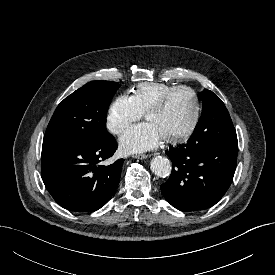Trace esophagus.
I'll return each instance as SVG.
<instances>
[{"label": "esophagus", "mask_w": 275, "mask_h": 275, "mask_svg": "<svg viewBox=\"0 0 275 275\" xmlns=\"http://www.w3.org/2000/svg\"><path fill=\"white\" fill-rule=\"evenodd\" d=\"M133 158H135V159H146L147 155H145V154H134Z\"/></svg>", "instance_id": "1"}]
</instances>
